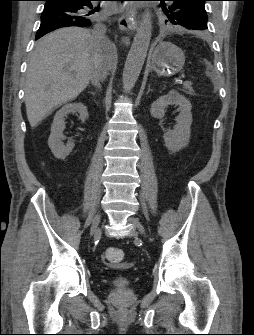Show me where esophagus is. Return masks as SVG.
<instances>
[{"instance_id": "34e87169", "label": "esophagus", "mask_w": 254, "mask_h": 335, "mask_svg": "<svg viewBox=\"0 0 254 335\" xmlns=\"http://www.w3.org/2000/svg\"><path fill=\"white\" fill-rule=\"evenodd\" d=\"M138 24L137 17L135 13L131 14H120L118 17V25L119 28L128 33L129 35L133 33V31L136 29ZM122 43L128 46L130 44V38L129 36H124L122 38Z\"/></svg>"}]
</instances>
